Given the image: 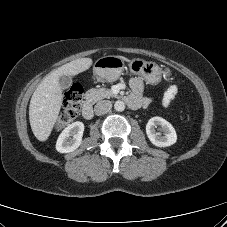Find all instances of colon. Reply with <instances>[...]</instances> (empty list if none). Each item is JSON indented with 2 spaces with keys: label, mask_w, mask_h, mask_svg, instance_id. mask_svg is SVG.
<instances>
[{
  "label": "colon",
  "mask_w": 227,
  "mask_h": 227,
  "mask_svg": "<svg viewBox=\"0 0 227 227\" xmlns=\"http://www.w3.org/2000/svg\"><path fill=\"white\" fill-rule=\"evenodd\" d=\"M83 102V88L80 84H73L65 93L63 99V112L60 115L57 128L70 124L78 115Z\"/></svg>",
  "instance_id": "1"
}]
</instances>
